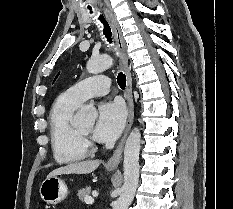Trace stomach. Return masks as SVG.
<instances>
[{
	"label": "stomach",
	"instance_id": "stomach-1",
	"mask_svg": "<svg viewBox=\"0 0 233 209\" xmlns=\"http://www.w3.org/2000/svg\"><path fill=\"white\" fill-rule=\"evenodd\" d=\"M39 193L44 202L55 205L67 197L68 188L65 182L58 176L47 177L41 183Z\"/></svg>",
	"mask_w": 233,
	"mask_h": 209
}]
</instances>
